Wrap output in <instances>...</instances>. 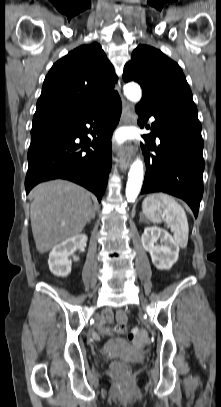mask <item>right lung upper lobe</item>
<instances>
[{
    "label": "right lung upper lobe",
    "instance_id": "obj_1",
    "mask_svg": "<svg viewBox=\"0 0 221 407\" xmlns=\"http://www.w3.org/2000/svg\"><path fill=\"white\" fill-rule=\"evenodd\" d=\"M114 68L98 43L82 45L47 74L32 128L80 117L119 98Z\"/></svg>",
    "mask_w": 221,
    "mask_h": 407
}]
</instances>
